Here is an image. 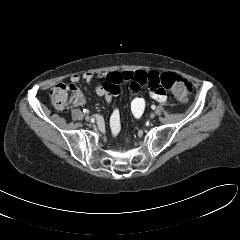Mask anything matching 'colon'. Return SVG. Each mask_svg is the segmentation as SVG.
<instances>
[{"label":"colon","mask_w":240,"mask_h":240,"mask_svg":"<svg viewBox=\"0 0 240 240\" xmlns=\"http://www.w3.org/2000/svg\"><path fill=\"white\" fill-rule=\"evenodd\" d=\"M161 84L164 88L173 92L180 101H186L192 92L191 84L175 73L167 72L161 75ZM80 94V90L73 84H57L50 91V99L57 109L65 108L69 102L73 101Z\"/></svg>","instance_id":"1"}]
</instances>
